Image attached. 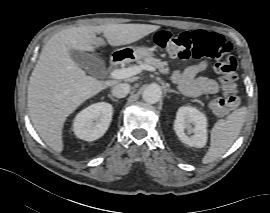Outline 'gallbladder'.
Here are the masks:
<instances>
[{
    "instance_id": "obj_1",
    "label": "gallbladder",
    "mask_w": 270,
    "mask_h": 213,
    "mask_svg": "<svg viewBox=\"0 0 270 213\" xmlns=\"http://www.w3.org/2000/svg\"><path fill=\"white\" fill-rule=\"evenodd\" d=\"M69 54L73 61L79 67L85 69L90 75L99 77L104 73V63L94 54L73 49L69 51Z\"/></svg>"
}]
</instances>
